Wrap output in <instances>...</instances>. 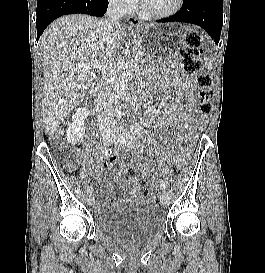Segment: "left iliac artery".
I'll return each instance as SVG.
<instances>
[{
	"instance_id": "44dca946",
	"label": "left iliac artery",
	"mask_w": 265,
	"mask_h": 273,
	"mask_svg": "<svg viewBox=\"0 0 265 273\" xmlns=\"http://www.w3.org/2000/svg\"><path fill=\"white\" fill-rule=\"evenodd\" d=\"M130 130L133 134H135L137 136H141V129L139 127L131 125ZM160 186H161L162 190H164V191L166 190V183L163 180L161 181Z\"/></svg>"
}]
</instances>
